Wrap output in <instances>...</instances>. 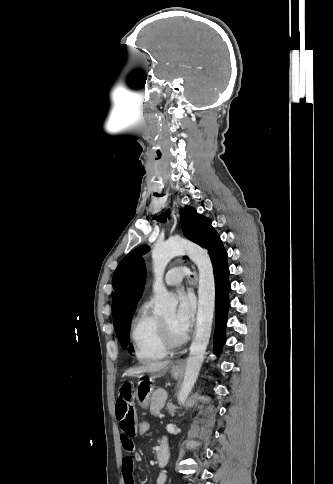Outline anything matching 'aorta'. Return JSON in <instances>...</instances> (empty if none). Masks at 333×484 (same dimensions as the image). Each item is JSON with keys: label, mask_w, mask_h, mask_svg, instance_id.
<instances>
[{"label": "aorta", "mask_w": 333, "mask_h": 484, "mask_svg": "<svg viewBox=\"0 0 333 484\" xmlns=\"http://www.w3.org/2000/svg\"><path fill=\"white\" fill-rule=\"evenodd\" d=\"M186 253L197 265L199 270L198 284V312L196 335L190 346V353L186 361L185 375L179 391V402L184 403L198 378L203 357L209 343L212 330L215 280L213 266L206 249L182 239H169L157 243L152 251L153 271L155 281V311L161 315L175 313L177 299L168 293L163 284V275L167 264L177 255Z\"/></svg>", "instance_id": "762f6f07"}]
</instances>
